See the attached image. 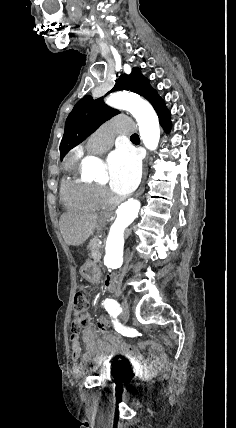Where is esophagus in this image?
I'll use <instances>...</instances> for the list:
<instances>
[{"label": "esophagus", "mask_w": 236, "mask_h": 428, "mask_svg": "<svg viewBox=\"0 0 236 428\" xmlns=\"http://www.w3.org/2000/svg\"><path fill=\"white\" fill-rule=\"evenodd\" d=\"M147 173H148V170H147V157H146L145 158V168H144L143 178H142L141 184H140V186H139V188L135 194L136 197H140L145 191V180L147 178Z\"/></svg>", "instance_id": "1"}]
</instances>
